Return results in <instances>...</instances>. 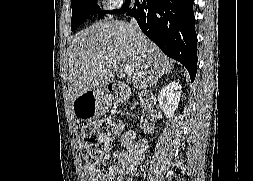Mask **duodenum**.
<instances>
[{
    "instance_id": "obj_1",
    "label": "duodenum",
    "mask_w": 253,
    "mask_h": 181,
    "mask_svg": "<svg viewBox=\"0 0 253 181\" xmlns=\"http://www.w3.org/2000/svg\"><path fill=\"white\" fill-rule=\"evenodd\" d=\"M107 96L112 102H121L127 97L126 87L123 84H115L107 86ZM149 100V97H145ZM155 130V115L153 111L148 110L143 122V131L151 133Z\"/></svg>"
}]
</instances>
